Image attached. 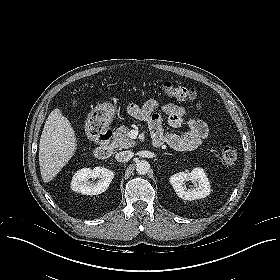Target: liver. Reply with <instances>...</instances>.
Instances as JSON below:
<instances>
[{"instance_id":"liver-1","label":"liver","mask_w":280,"mask_h":280,"mask_svg":"<svg viewBox=\"0 0 280 280\" xmlns=\"http://www.w3.org/2000/svg\"><path fill=\"white\" fill-rule=\"evenodd\" d=\"M76 136L69 120L60 109L48 116L39 144L41 177L50 182L68 163L77 149Z\"/></svg>"}]
</instances>
